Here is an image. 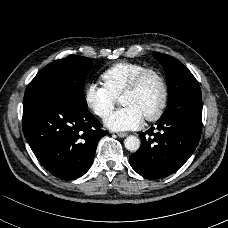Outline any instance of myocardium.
I'll return each instance as SVG.
<instances>
[{
    "label": "myocardium",
    "mask_w": 228,
    "mask_h": 228,
    "mask_svg": "<svg viewBox=\"0 0 228 228\" xmlns=\"http://www.w3.org/2000/svg\"><path fill=\"white\" fill-rule=\"evenodd\" d=\"M150 75H153L159 79L162 89H163V98H162L161 104L158 107V109L154 113L144 116V118L147 121H156V120L160 119L162 117V115L164 114V112L168 106V101H169L168 84H167L165 77L163 76V74L160 71H158L157 69H154V68H147V69L141 71L134 77L132 82L123 91L122 96L136 92L141 87L143 81Z\"/></svg>",
    "instance_id": "myocardium-1"
}]
</instances>
